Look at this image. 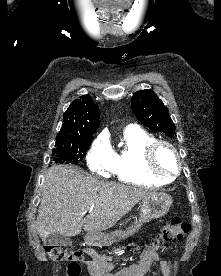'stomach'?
Wrapping results in <instances>:
<instances>
[{"instance_id": "stomach-1", "label": "stomach", "mask_w": 221, "mask_h": 276, "mask_svg": "<svg viewBox=\"0 0 221 276\" xmlns=\"http://www.w3.org/2000/svg\"><path fill=\"white\" fill-rule=\"evenodd\" d=\"M172 197L166 193H153L145 197L141 203L140 219L135 225L125 231H117L113 234H105L102 232L91 233L86 237V243L90 246H108L112 243L125 239L135 234L143 222L151 219L163 217L172 205Z\"/></svg>"}]
</instances>
